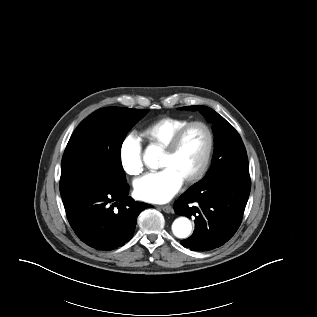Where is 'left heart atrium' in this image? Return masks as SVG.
Here are the masks:
<instances>
[{
  "instance_id": "1",
  "label": "left heart atrium",
  "mask_w": 317,
  "mask_h": 317,
  "mask_svg": "<svg viewBox=\"0 0 317 317\" xmlns=\"http://www.w3.org/2000/svg\"><path fill=\"white\" fill-rule=\"evenodd\" d=\"M183 179L172 168L149 173L135 181L136 196L146 202H168L181 188Z\"/></svg>"
}]
</instances>
